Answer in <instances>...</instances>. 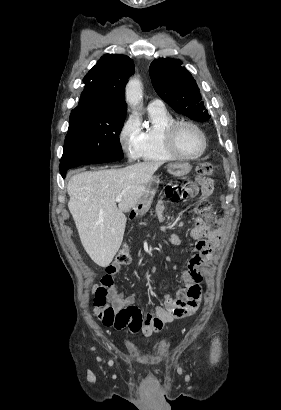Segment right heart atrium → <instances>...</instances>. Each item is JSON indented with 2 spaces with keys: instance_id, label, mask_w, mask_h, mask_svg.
I'll return each instance as SVG.
<instances>
[{
  "instance_id": "d8ad5b80",
  "label": "right heart atrium",
  "mask_w": 281,
  "mask_h": 410,
  "mask_svg": "<svg viewBox=\"0 0 281 410\" xmlns=\"http://www.w3.org/2000/svg\"><path fill=\"white\" fill-rule=\"evenodd\" d=\"M142 136V127L138 117L129 115L119 131V143L129 159L138 158V149Z\"/></svg>"
}]
</instances>
